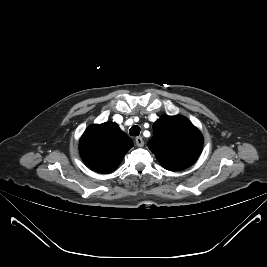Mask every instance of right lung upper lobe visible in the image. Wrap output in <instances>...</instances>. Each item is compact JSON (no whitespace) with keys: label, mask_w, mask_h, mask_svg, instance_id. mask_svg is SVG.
Masks as SVG:
<instances>
[{"label":"right lung upper lobe","mask_w":267,"mask_h":267,"mask_svg":"<svg viewBox=\"0 0 267 267\" xmlns=\"http://www.w3.org/2000/svg\"><path fill=\"white\" fill-rule=\"evenodd\" d=\"M132 140L116 123L89 126L80 139L79 150L84 163L99 173H110L121 163Z\"/></svg>","instance_id":"obj_1"}]
</instances>
